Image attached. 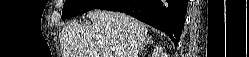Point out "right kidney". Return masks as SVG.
Segmentation results:
<instances>
[{"instance_id": "ca27d5eb", "label": "right kidney", "mask_w": 249, "mask_h": 57, "mask_svg": "<svg viewBox=\"0 0 249 57\" xmlns=\"http://www.w3.org/2000/svg\"><path fill=\"white\" fill-rule=\"evenodd\" d=\"M164 57H167V55L164 53Z\"/></svg>"}]
</instances>
